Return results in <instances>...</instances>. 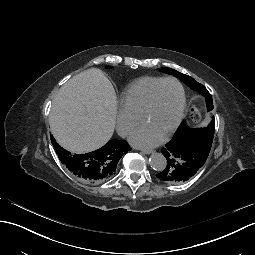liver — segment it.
Returning a JSON list of instances; mask_svg holds the SVG:
<instances>
[{
    "instance_id": "obj_1",
    "label": "liver",
    "mask_w": 255,
    "mask_h": 255,
    "mask_svg": "<svg viewBox=\"0 0 255 255\" xmlns=\"http://www.w3.org/2000/svg\"><path fill=\"white\" fill-rule=\"evenodd\" d=\"M117 96L102 70L91 68L68 80L53 98L49 124L57 143L72 153L91 152L112 137Z\"/></svg>"
}]
</instances>
